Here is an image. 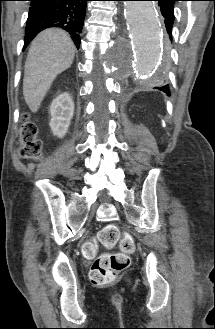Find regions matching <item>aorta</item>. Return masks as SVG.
<instances>
[{
	"mask_svg": "<svg viewBox=\"0 0 215 329\" xmlns=\"http://www.w3.org/2000/svg\"><path fill=\"white\" fill-rule=\"evenodd\" d=\"M126 25L136 52L140 74L155 78L163 49V27L152 1H126Z\"/></svg>",
	"mask_w": 215,
	"mask_h": 329,
	"instance_id": "1",
	"label": "aorta"
}]
</instances>
